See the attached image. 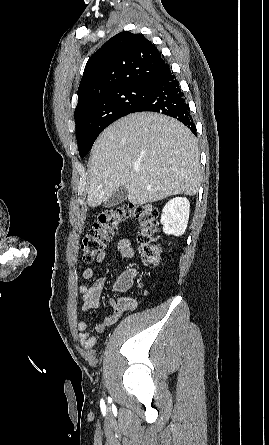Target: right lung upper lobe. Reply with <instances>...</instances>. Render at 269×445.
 <instances>
[{
	"mask_svg": "<svg viewBox=\"0 0 269 445\" xmlns=\"http://www.w3.org/2000/svg\"><path fill=\"white\" fill-rule=\"evenodd\" d=\"M167 66L158 49L142 34L120 32L88 60L78 87L76 110L114 89L149 85Z\"/></svg>",
	"mask_w": 269,
	"mask_h": 445,
	"instance_id": "obj_1",
	"label": "right lung upper lobe"
}]
</instances>
